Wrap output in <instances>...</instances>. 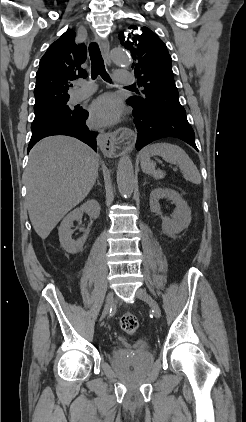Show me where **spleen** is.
Returning a JSON list of instances; mask_svg holds the SVG:
<instances>
[{"mask_svg":"<svg viewBox=\"0 0 246 422\" xmlns=\"http://www.w3.org/2000/svg\"><path fill=\"white\" fill-rule=\"evenodd\" d=\"M161 156L166 162L178 165L183 172V177L194 184L201 183V176L193 161L179 146L170 143H155L145 147L140 153L141 168L154 179H162L165 172L156 170V164L151 161L152 156Z\"/></svg>","mask_w":246,"mask_h":422,"instance_id":"spleen-1","label":"spleen"}]
</instances>
